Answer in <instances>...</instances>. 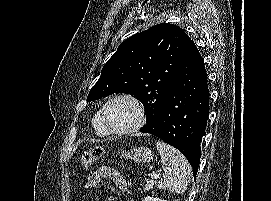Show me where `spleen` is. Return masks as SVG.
<instances>
[{"label": "spleen", "mask_w": 271, "mask_h": 201, "mask_svg": "<svg viewBox=\"0 0 271 201\" xmlns=\"http://www.w3.org/2000/svg\"><path fill=\"white\" fill-rule=\"evenodd\" d=\"M156 147L164 170L161 186L176 194L185 193L190 183L191 172L187 159L179 150L162 141H157Z\"/></svg>", "instance_id": "1"}]
</instances>
